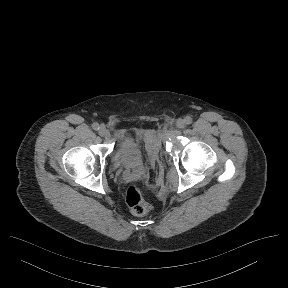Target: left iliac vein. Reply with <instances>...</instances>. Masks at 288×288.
Wrapping results in <instances>:
<instances>
[{
    "instance_id": "left-iliac-vein-1",
    "label": "left iliac vein",
    "mask_w": 288,
    "mask_h": 288,
    "mask_svg": "<svg viewBox=\"0 0 288 288\" xmlns=\"http://www.w3.org/2000/svg\"><path fill=\"white\" fill-rule=\"evenodd\" d=\"M176 126L179 129H183L186 126V123H185V121L183 119H178L176 121Z\"/></svg>"
}]
</instances>
